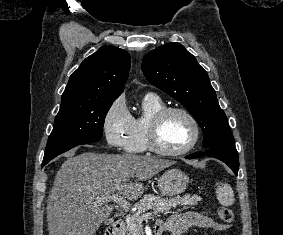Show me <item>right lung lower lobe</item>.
Masks as SVG:
<instances>
[{"mask_svg":"<svg viewBox=\"0 0 283 235\" xmlns=\"http://www.w3.org/2000/svg\"><path fill=\"white\" fill-rule=\"evenodd\" d=\"M48 162H42V166H45Z\"/></svg>","mask_w":283,"mask_h":235,"instance_id":"right-lung-lower-lobe-1","label":"right lung lower lobe"}]
</instances>
